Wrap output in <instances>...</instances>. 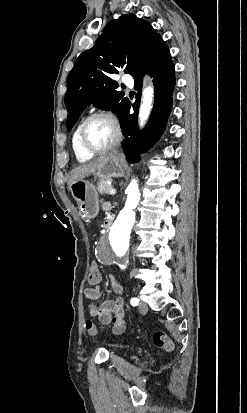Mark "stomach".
<instances>
[{
	"instance_id": "0dacf381",
	"label": "stomach",
	"mask_w": 247,
	"mask_h": 413,
	"mask_svg": "<svg viewBox=\"0 0 247 413\" xmlns=\"http://www.w3.org/2000/svg\"><path fill=\"white\" fill-rule=\"evenodd\" d=\"M99 180H108L111 176H123L124 168L122 166L121 156L108 154L104 162L96 168L94 172ZM75 200L78 202L79 211L83 219H94L99 213V194L96 186L90 180H76L68 184Z\"/></svg>"
}]
</instances>
